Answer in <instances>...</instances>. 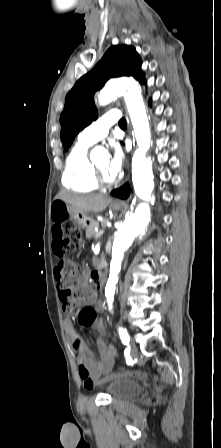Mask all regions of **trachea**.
<instances>
[{"label": "trachea", "instance_id": "obj_1", "mask_svg": "<svg viewBox=\"0 0 221 448\" xmlns=\"http://www.w3.org/2000/svg\"><path fill=\"white\" fill-rule=\"evenodd\" d=\"M119 126H120V127L127 126V122H126L125 118H122V119L119 121Z\"/></svg>", "mask_w": 221, "mask_h": 448}]
</instances>
